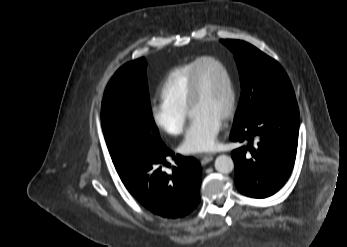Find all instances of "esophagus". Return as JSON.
<instances>
[{"label":"esophagus","mask_w":347,"mask_h":247,"mask_svg":"<svg viewBox=\"0 0 347 247\" xmlns=\"http://www.w3.org/2000/svg\"><path fill=\"white\" fill-rule=\"evenodd\" d=\"M199 158H201L202 164H207L213 160V154L211 153L200 154Z\"/></svg>","instance_id":"1"}]
</instances>
